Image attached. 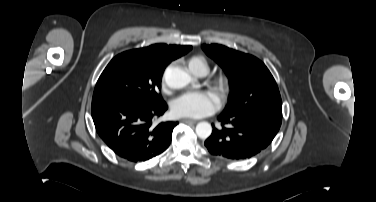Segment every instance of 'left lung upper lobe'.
<instances>
[{"instance_id": "5c2ea615", "label": "left lung upper lobe", "mask_w": 376, "mask_h": 202, "mask_svg": "<svg viewBox=\"0 0 376 202\" xmlns=\"http://www.w3.org/2000/svg\"><path fill=\"white\" fill-rule=\"evenodd\" d=\"M204 52L225 71L231 85L224 113H261L282 120V101L268 68L254 56L223 45H202Z\"/></svg>"}]
</instances>
